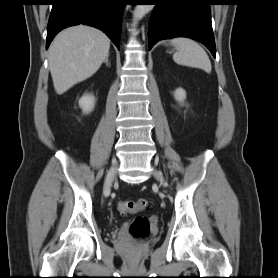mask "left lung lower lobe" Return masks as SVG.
<instances>
[{
	"mask_svg": "<svg viewBox=\"0 0 278 278\" xmlns=\"http://www.w3.org/2000/svg\"><path fill=\"white\" fill-rule=\"evenodd\" d=\"M155 5L148 28L149 49L162 39L189 37L204 44L215 57L211 24L212 0H149Z\"/></svg>",
	"mask_w": 278,
	"mask_h": 278,
	"instance_id": "left-lung-lower-lobe-1",
	"label": "left lung lower lobe"
}]
</instances>
